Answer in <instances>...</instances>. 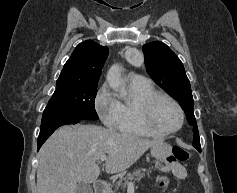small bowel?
<instances>
[{
  "instance_id": "obj_1",
  "label": "small bowel",
  "mask_w": 237,
  "mask_h": 193,
  "mask_svg": "<svg viewBox=\"0 0 237 193\" xmlns=\"http://www.w3.org/2000/svg\"><path fill=\"white\" fill-rule=\"evenodd\" d=\"M173 175L180 180H183L187 177V171L182 165H175L174 168L172 169Z\"/></svg>"
}]
</instances>
